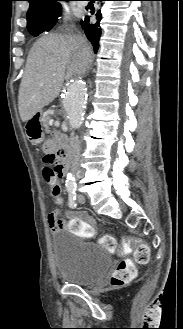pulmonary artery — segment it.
I'll return each instance as SVG.
<instances>
[{
  "instance_id": "obj_1",
  "label": "pulmonary artery",
  "mask_w": 183,
  "mask_h": 329,
  "mask_svg": "<svg viewBox=\"0 0 183 329\" xmlns=\"http://www.w3.org/2000/svg\"><path fill=\"white\" fill-rule=\"evenodd\" d=\"M80 7H84L85 5L84 4H79Z\"/></svg>"
}]
</instances>
